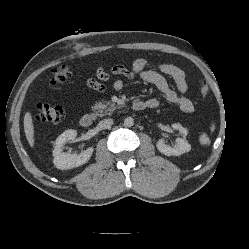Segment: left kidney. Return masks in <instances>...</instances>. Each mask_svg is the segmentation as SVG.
<instances>
[{
  "label": "left kidney",
  "mask_w": 249,
  "mask_h": 249,
  "mask_svg": "<svg viewBox=\"0 0 249 249\" xmlns=\"http://www.w3.org/2000/svg\"><path fill=\"white\" fill-rule=\"evenodd\" d=\"M172 127L173 129L178 130L183 135V138H178L174 147H171L170 145L166 144L163 139H160L156 143L157 149L167 156H179L183 153L189 152L191 150V145L185 138L187 135V129L178 123L173 124Z\"/></svg>",
  "instance_id": "1"
}]
</instances>
